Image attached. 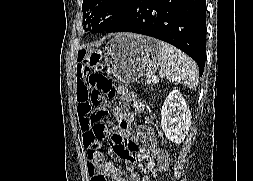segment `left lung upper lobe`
<instances>
[{"instance_id": "1", "label": "left lung upper lobe", "mask_w": 253, "mask_h": 181, "mask_svg": "<svg viewBox=\"0 0 253 181\" xmlns=\"http://www.w3.org/2000/svg\"><path fill=\"white\" fill-rule=\"evenodd\" d=\"M133 0H83V23L92 33L106 31L127 12Z\"/></svg>"}]
</instances>
